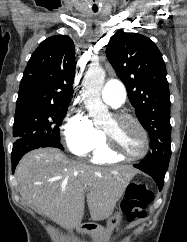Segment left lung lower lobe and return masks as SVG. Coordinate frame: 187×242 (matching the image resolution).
<instances>
[{"instance_id": "0a47b994", "label": "left lung lower lobe", "mask_w": 187, "mask_h": 242, "mask_svg": "<svg viewBox=\"0 0 187 242\" xmlns=\"http://www.w3.org/2000/svg\"><path fill=\"white\" fill-rule=\"evenodd\" d=\"M134 167L140 169L141 171L149 174L154 181L157 183L159 190L161 191L164 184V177L168 166L165 165H155V164H136Z\"/></svg>"}]
</instances>
